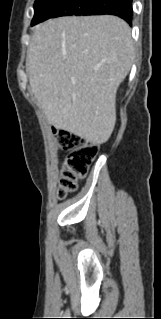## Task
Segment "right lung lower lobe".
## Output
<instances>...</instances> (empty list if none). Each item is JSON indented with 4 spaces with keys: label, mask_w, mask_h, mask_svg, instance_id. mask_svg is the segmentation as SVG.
Returning a JSON list of instances; mask_svg holds the SVG:
<instances>
[{
    "label": "right lung lower lobe",
    "mask_w": 161,
    "mask_h": 319,
    "mask_svg": "<svg viewBox=\"0 0 161 319\" xmlns=\"http://www.w3.org/2000/svg\"><path fill=\"white\" fill-rule=\"evenodd\" d=\"M115 15L132 25V0H92L83 12L76 15Z\"/></svg>",
    "instance_id": "obj_1"
}]
</instances>
